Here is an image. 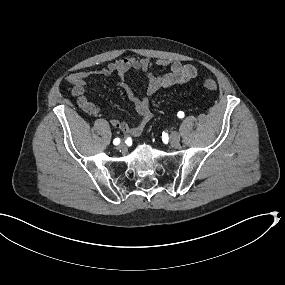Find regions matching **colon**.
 Returning <instances> with one entry per match:
<instances>
[{"label": "colon", "instance_id": "colon-1", "mask_svg": "<svg viewBox=\"0 0 285 285\" xmlns=\"http://www.w3.org/2000/svg\"><path fill=\"white\" fill-rule=\"evenodd\" d=\"M203 86L207 90L212 91V92L217 91V88H218L217 83L214 80H212V79H205L203 81Z\"/></svg>", "mask_w": 285, "mask_h": 285}]
</instances>
